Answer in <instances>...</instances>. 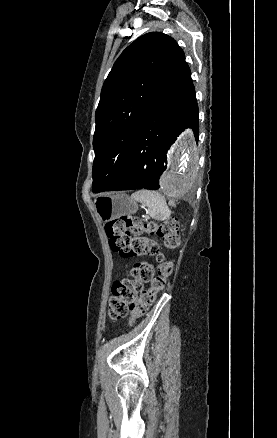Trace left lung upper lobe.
<instances>
[{"mask_svg": "<svg viewBox=\"0 0 277 438\" xmlns=\"http://www.w3.org/2000/svg\"><path fill=\"white\" fill-rule=\"evenodd\" d=\"M150 98L198 115L191 72L182 49L166 34L147 33L118 57L96 110L93 190L104 191L121 175L135 141L138 120Z\"/></svg>", "mask_w": 277, "mask_h": 438, "instance_id": "1", "label": "left lung upper lobe"}]
</instances>
